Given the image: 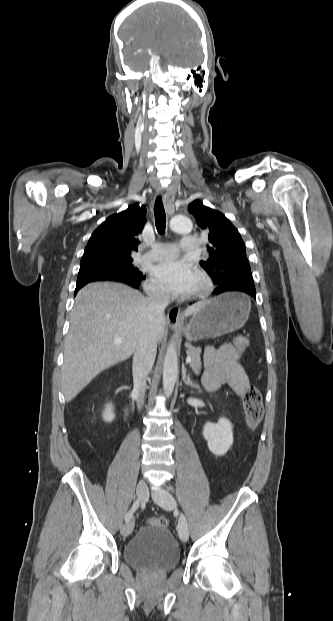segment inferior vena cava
<instances>
[{"instance_id":"inferior-vena-cava-1","label":"inferior vena cava","mask_w":333,"mask_h":621,"mask_svg":"<svg viewBox=\"0 0 333 621\" xmlns=\"http://www.w3.org/2000/svg\"><path fill=\"white\" fill-rule=\"evenodd\" d=\"M170 302L168 292L157 289L152 291L147 298L149 317L161 321L164 310ZM157 351L156 336L151 330H145L139 335L133 355V383L137 394V407L140 410L144 404L146 378L151 371Z\"/></svg>"}]
</instances>
